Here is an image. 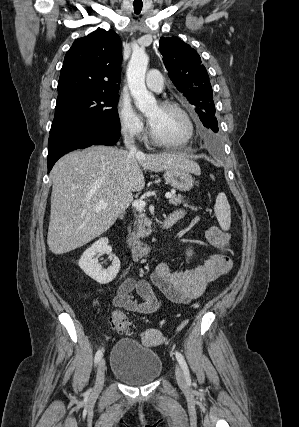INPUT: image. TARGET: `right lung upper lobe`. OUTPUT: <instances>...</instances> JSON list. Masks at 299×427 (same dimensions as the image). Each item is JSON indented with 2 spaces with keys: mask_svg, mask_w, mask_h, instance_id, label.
<instances>
[{
  "mask_svg": "<svg viewBox=\"0 0 299 427\" xmlns=\"http://www.w3.org/2000/svg\"><path fill=\"white\" fill-rule=\"evenodd\" d=\"M121 61V39L112 30L76 39L64 58L57 100L85 92H118Z\"/></svg>",
  "mask_w": 299,
  "mask_h": 427,
  "instance_id": "obj_1",
  "label": "right lung upper lobe"
}]
</instances>
